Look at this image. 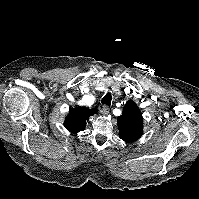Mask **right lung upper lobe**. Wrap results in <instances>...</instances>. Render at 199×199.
<instances>
[{
    "label": "right lung upper lobe",
    "instance_id": "cb5924a9",
    "mask_svg": "<svg viewBox=\"0 0 199 199\" xmlns=\"http://www.w3.org/2000/svg\"><path fill=\"white\" fill-rule=\"evenodd\" d=\"M97 113L96 108L76 107L71 108L65 117L64 126L73 134L85 130L86 120Z\"/></svg>",
    "mask_w": 199,
    "mask_h": 199
}]
</instances>
